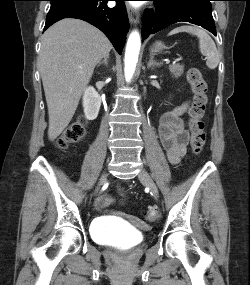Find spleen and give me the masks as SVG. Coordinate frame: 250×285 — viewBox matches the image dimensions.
<instances>
[{
    "mask_svg": "<svg viewBox=\"0 0 250 285\" xmlns=\"http://www.w3.org/2000/svg\"><path fill=\"white\" fill-rule=\"evenodd\" d=\"M180 32H187L195 35L199 39L200 52L206 57V66L209 69H215L219 64V52L212 38L207 32L195 26H181L170 31L169 35H174Z\"/></svg>",
    "mask_w": 250,
    "mask_h": 285,
    "instance_id": "1",
    "label": "spleen"
}]
</instances>
